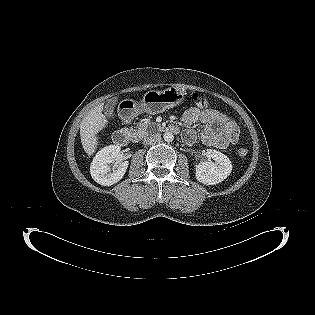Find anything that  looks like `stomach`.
Masks as SVG:
<instances>
[{"label":"stomach","mask_w":315,"mask_h":315,"mask_svg":"<svg viewBox=\"0 0 315 315\" xmlns=\"http://www.w3.org/2000/svg\"><path fill=\"white\" fill-rule=\"evenodd\" d=\"M183 100L184 92L175 87L163 91H150L144 97L143 103L133 99L122 101L117 108V115L124 122L139 121L146 112L160 113L180 104Z\"/></svg>","instance_id":"1"}]
</instances>
